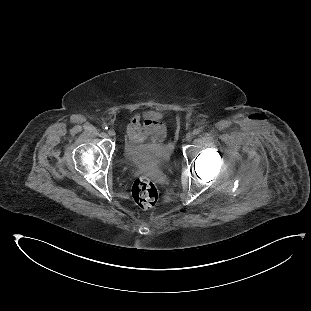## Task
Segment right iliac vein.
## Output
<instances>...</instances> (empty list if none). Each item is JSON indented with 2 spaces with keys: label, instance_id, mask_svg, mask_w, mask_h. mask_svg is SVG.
Here are the masks:
<instances>
[{
  "label": "right iliac vein",
  "instance_id": "right-iliac-vein-1",
  "mask_svg": "<svg viewBox=\"0 0 311 311\" xmlns=\"http://www.w3.org/2000/svg\"><path fill=\"white\" fill-rule=\"evenodd\" d=\"M107 133L110 137L115 136V131L113 129H109Z\"/></svg>",
  "mask_w": 311,
  "mask_h": 311
}]
</instances>
